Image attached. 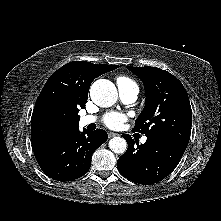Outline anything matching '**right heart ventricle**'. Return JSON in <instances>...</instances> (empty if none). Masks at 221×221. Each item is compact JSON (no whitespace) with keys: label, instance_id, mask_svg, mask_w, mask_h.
Segmentation results:
<instances>
[{"label":"right heart ventricle","instance_id":"right-heart-ventricle-1","mask_svg":"<svg viewBox=\"0 0 221 221\" xmlns=\"http://www.w3.org/2000/svg\"><path fill=\"white\" fill-rule=\"evenodd\" d=\"M117 80H122V81L129 82V83L134 84L129 78L124 77V76L118 77ZM134 85H135V84H134Z\"/></svg>","mask_w":221,"mask_h":221}]
</instances>
